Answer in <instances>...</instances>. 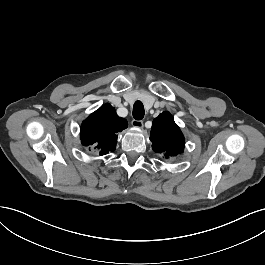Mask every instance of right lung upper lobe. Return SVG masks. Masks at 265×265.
<instances>
[{
	"mask_svg": "<svg viewBox=\"0 0 265 265\" xmlns=\"http://www.w3.org/2000/svg\"><path fill=\"white\" fill-rule=\"evenodd\" d=\"M127 126L126 119L119 117L114 107L104 104L83 121L81 143L95 154L104 156L116 149L117 135Z\"/></svg>",
	"mask_w": 265,
	"mask_h": 265,
	"instance_id": "obj_1",
	"label": "right lung upper lobe"
}]
</instances>
